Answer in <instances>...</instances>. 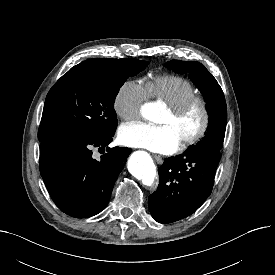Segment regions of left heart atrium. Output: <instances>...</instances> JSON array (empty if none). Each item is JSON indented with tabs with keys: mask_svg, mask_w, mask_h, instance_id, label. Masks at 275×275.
<instances>
[{
	"mask_svg": "<svg viewBox=\"0 0 275 275\" xmlns=\"http://www.w3.org/2000/svg\"><path fill=\"white\" fill-rule=\"evenodd\" d=\"M118 138L124 145L142 147L159 153H172L180 144L169 126L139 121L122 125Z\"/></svg>",
	"mask_w": 275,
	"mask_h": 275,
	"instance_id": "obj_1",
	"label": "left heart atrium"
}]
</instances>
